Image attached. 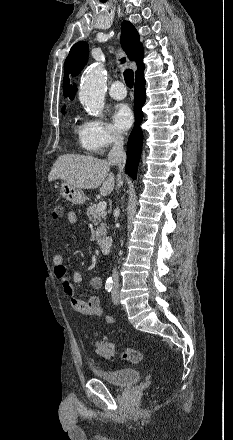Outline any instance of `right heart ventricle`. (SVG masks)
Listing matches in <instances>:
<instances>
[{
    "label": "right heart ventricle",
    "mask_w": 233,
    "mask_h": 440,
    "mask_svg": "<svg viewBox=\"0 0 233 440\" xmlns=\"http://www.w3.org/2000/svg\"><path fill=\"white\" fill-rule=\"evenodd\" d=\"M73 132L80 139L82 145L84 146V143H83V125H79L77 123H74L73 124Z\"/></svg>",
    "instance_id": "obj_1"
}]
</instances>
